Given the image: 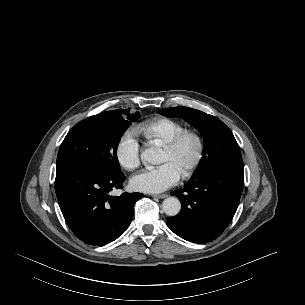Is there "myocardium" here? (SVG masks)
Returning a JSON list of instances; mask_svg holds the SVG:
<instances>
[{"mask_svg": "<svg viewBox=\"0 0 305 305\" xmlns=\"http://www.w3.org/2000/svg\"><path fill=\"white\" fill-rule=\"evenodd\" d=\"M192 138L196 142L197 146V154L194 162L185 170L182 174L184 177H189L192 175L202 164L204 155H205V144L203 137L194 130H184L183 132L176 135L173 139H171L168 143L164 145V149L167 151H175L177 150L181 144L187 139Z\"/></svg>", "mask_w": 305, "mask_h": 305, "instance_id": "1", "label": "myocardium"}]
</instances>
